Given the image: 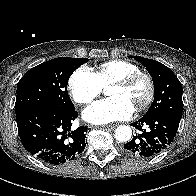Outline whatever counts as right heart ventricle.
I'll list each match as a JSON object with an SVG mask.
<instances>
[{
  "label": "right heart ventricle",
  "mask_w": 196,
  "mask_h": 196,
  "mask_svg": "<svg viewBox=\"0 0 196 196\" xmlns=\"http://www.w3.org/2000/svg\"><path fill=\"white\" fill-rule=\"evenodd\" d=\"M138 71H140V68L136 64L126 60L115 59L100 64L95 74L103 87L116 79Z\"/></svg>",
  "instance_id": "1"
}]
</instances>
